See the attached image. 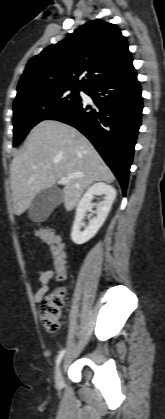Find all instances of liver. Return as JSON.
I'll return each instance as SVG.
<instances>
[{"label":"liver","instance_id":"obj_1","mask_svg":"<svg viewBox=\"0 0 165 419\" xmlns=\"http://www.w3.org/2000/svg\"><path fill=\"white\" fill-rule=\"evenodd\" d=\"M14 213L19 216L41 191L58 179L73 176L63 189L66 210H72L84 190L96 181L115 177L91 142L78 130L55 120H44L29 133L23 151L10 170Z\"/></svg>","mask_w":165,"mask_h":419}]
</instances>
